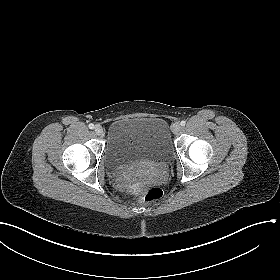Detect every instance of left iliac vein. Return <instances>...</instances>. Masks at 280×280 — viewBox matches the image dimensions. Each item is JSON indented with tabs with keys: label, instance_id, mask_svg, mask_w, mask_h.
<instances>
[{
	"label": "left iliac vein",
	"instance_id": "4c4485c4",
	"mask_svg": "<svg viewBox=\"0 0 280 280\" xmlns=\"http://www.w3.org/2000/svg\"><path fill=\"white\" fill-rule=\"evenodd\" d=\"M180 129H181V126L178 122H176L172 125V132L173 133H175V134L178 133L180 131Z\"/></svg>",
	"mask_w": 280,
	"mask_h": 280
}]
</instances>
